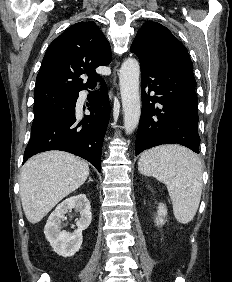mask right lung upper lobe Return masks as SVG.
Here are the masks:
<instances>
[{"label": "right lung upper lobe", "instance_id": "right-lung-upper-lobe-1", "mask_svg": "<svg viewBox=\"0 0 232 282\" xmlns=\"http://www.w3.org/2000/svg\"><path fill=\"white\" fill-rule=\"evenodd\" d=\"M108 40L93 21L79 22L52 41L37 75L35 91H59L76 95L96 85L95 69L111 62ZM89 76L83 84L81 75ZM34 91V92H35Z\"/></svg>", "mask_w": 232, "mask_h": 282}]
</instances>
